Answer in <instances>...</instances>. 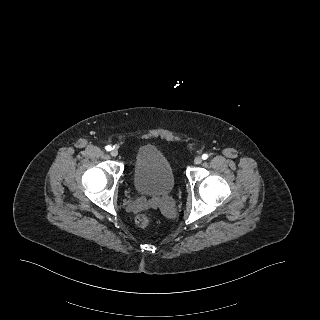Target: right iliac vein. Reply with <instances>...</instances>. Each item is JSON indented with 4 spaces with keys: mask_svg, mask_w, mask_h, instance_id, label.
<instances>
[{
    "mask_svg": "<svg viewBox=\"0 0 320 320\" xmlns=\"http://www.w3.org/2000/svg\"><path fill=\"white\" fill-rule=\"evenodd\" d=\"M110 154H111V156L116 157L118 155V151L116 149H112Z\"/></svg>",
    "mask_w": 320,
    "mask_h": 320,
    "instance_id": "obj_1",
    "label": "right iliac vein"
}]
</instances>
